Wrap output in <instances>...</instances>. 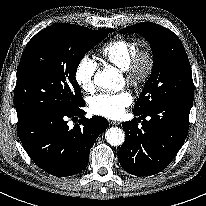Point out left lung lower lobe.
<instances>
[{
	"label": "left lung lower lobe",
	"instance_id": "0a47b994",
	"mask_svg": "<svg viewBox=\"0 0 206 206\" xmlns=\"http://www.w3.org/2000/svg\"><path fill=\"white\" fill-rule=\"evenodd\" d=\"M191 107L186 103H160L145 112L133 111L139 117L122 123L126 133L118 156L122 168L137 176L165 169L186 139Z\"/></svg>",
	"mask_w": 206,
	"mask_h": 206
}]
</instances>
